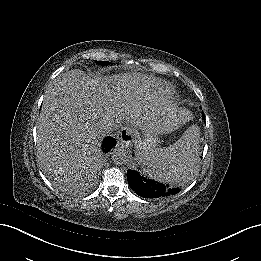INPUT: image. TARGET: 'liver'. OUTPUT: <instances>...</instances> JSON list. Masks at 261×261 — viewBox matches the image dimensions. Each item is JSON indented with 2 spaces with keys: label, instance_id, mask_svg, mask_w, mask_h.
<instances>
[{
  "label": "liver",
  "instance_id": "1",
  "mask_svg": "<svg viewBox=\"0 0 261 261\" xmlns=\"http://www.w3.org/2000/svg\"><path fill=\"white\" fill-rule=\"evenodd\" d=\"M163 106L166 101L154 111L143 106L136 91L117 78L72 70L43 100L37 128L39 164L57 185L84 176L98 162L107 124L127 120L145 130ZM171 129L169 124L154 130Z\"/></svg>",
  "mask_w": 261,
  "mask_h": 261
}]
</instances>
